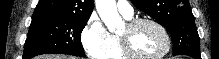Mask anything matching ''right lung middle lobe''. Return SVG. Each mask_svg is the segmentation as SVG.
I'll list each match as a JSON object with an SVG mask.
<instances>
[{
	"label": "right lung middle lobe",
	"instance_id": "obj_1",
	"mask_svg": "<svg viewBox=\"0 0 219 59\" xmlns=\"http://www.w3.org/2000/svg\"><path fill=\"white\" fill-rule=\"evenodd\" d=\"M89 17L33 15L22 59L46 53L84 57L81 32Z\"/></svg>",
	"mask_w": 219,
	"mask_h": 59
}]
</instances>
